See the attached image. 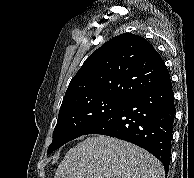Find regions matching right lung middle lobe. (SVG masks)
Listing matches in <instances>:
<instances>
[{
  "label": "right lung middle lobe",
  "mask_w": 194,
  "mask_h": 178,
  "mask_svg": "<svg viewBox=\"0 0 194 178\" xmlns=\"http://www.w3.org/2000/svg\"><path fill=\"white\" fill-rule=\"evenodd\" d=\"M127 100L114 97H91L61 106L47 154L80 137Z\"/></svg>",
  "instance_id": "dd1d6c3e"
}]
</instances>
